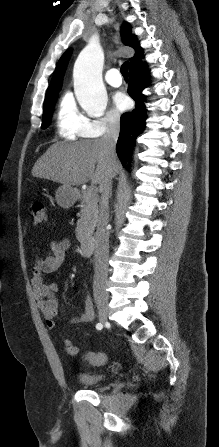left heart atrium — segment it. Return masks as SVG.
Wrapping results in <instances>:
<instances>
[{
  "label": "left heart atrium",
  "mask_w": 219,
  "mask_h": 447,
  "mask_svg": "<svg viewBox=\"0 0 219 447\" xmlns=\"http://www.w3.org/2000/svg\"><path fill=\"white\" fill-rule=\"evenodd\" d=\"M114 104L118 110L124 111L129 107L130 100L124 93H117L114 96Z\"/></svg>",
  "instance_id": "obj_1"
}]
</instances>
